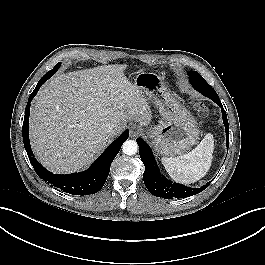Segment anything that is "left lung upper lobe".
Masks as SVG:
<instances>
[{"instance_id":"left-lung-upper-lobe-1","label":"left lung upper lobe","mask_w":265,"mask_h":265,"mask_svg":"<svg viewBox=\"0 0 265 265\" xmlns=\"http://www.w3.org/2000/svg\"><path fill=\"white\" fill-rule=\"evenodd\" d=\"M189 80H194V79H204L197 71H189Z\"/></svg>"}]
</instances>
